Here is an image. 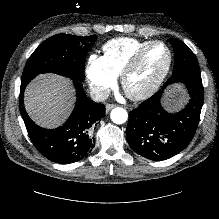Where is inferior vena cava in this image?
I'll use <instances>...</instances> for the list:
<instances>
[{
  "mask_svg": "<svg viewBox=\"0 0 219 219\" xmlns=\"http://www.w3.org/2000/svg\"><path fill=\"white\" fill-rule=\"evenodd\" d=\"M110 91L101 86H92L90 88V95L92 100L96 102H103L109 97Z\"/></svg>",
  "mask_w": 219,
  "mask_h": 219,
  "instance_id": "obj_1",
  "label": "inferior vena cava"
}]
</instances>
